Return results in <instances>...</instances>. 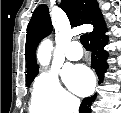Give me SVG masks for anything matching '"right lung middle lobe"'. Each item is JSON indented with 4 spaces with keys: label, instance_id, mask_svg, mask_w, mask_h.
Here are the masks:
<instances>
[{
    "label": "right lung middle lobe",
    "instance_id": "dd1d6c3e",
    "mask_svg": "<svg viewBox=\"0 0 121 113\" xmlns=\"http://www.w3.org/2000/svg\"><path fill=\"white\" fill-rule=\"evenodd\" d=\"M37 73L38 72L27 76V81H26L27 82V86L34 80V78L37 75Z\"/></svg>",
    "mask_w": 121,
    "mask_h": 113
}]
</instances>
